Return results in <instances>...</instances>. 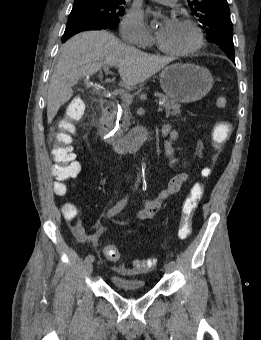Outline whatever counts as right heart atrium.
Listing matches in <instances>:
<instances>
[{
	"label": "right heart atrium",
	"instance_id": "right-heart-atrium-1",
	"mask_svg": "<svg viewBox=\"0 0 261 340\" xmlns=\"http://www.w3.org/2000/svg\"><path fill=\"white\" fill-rule=\"evenodd\" d=\"M120 35L124 41L142 48H148L154 42L142 13L137 10H130L125 15L120 24Z\"/></svg>",
	"mask_w": 261,
	"mask_h": 340
}]
</instances>
